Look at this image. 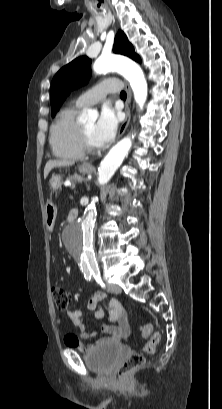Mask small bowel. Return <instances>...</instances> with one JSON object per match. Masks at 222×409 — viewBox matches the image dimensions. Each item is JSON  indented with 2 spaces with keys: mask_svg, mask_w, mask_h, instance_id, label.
Instances as JSON below:
<instances>
[{
  "mask_svg": "<svg viewBox=\"0 0 222 409\" xmlns=\"http://www.w3.org/2000/svg\"><path fill=\"white\" fill-rule=\"evenodd\" d=\"M106 297L105 293L97 292L85 305V310L91 312V316L95 320L103 319L106 311L108 312V323L102 325L98 330L92 332L86 330L84 311L81 309L68 310L67 315L73 324L79 328L81 339H90L97 333L106 334L107 336L98 339L93 345L85 346L77 337L70 335L66 337V343L69 347L79 352H87L95 346L119 343L129 338L130 327L122 303L118 299L113 298L106 307H103L101 303Z\"/></svg>",
  "mask_w": 222,
  "mask_h": 409,
  "instance_id": "small-bowel-1",
  "label": "small bowel"
}]
</instances>
